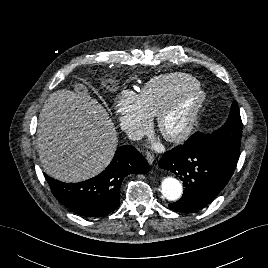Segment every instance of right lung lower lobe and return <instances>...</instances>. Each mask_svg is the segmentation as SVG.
<instances>
[{"mask_svg":"<svg viewBox=\"0 0 268 268\" xmlns=\"http://www.w3.org/2000/svg\"><path fill=\"white\" fill-rule=\"evenodd\" d=\"M145 158L130 145L116 150L109 166L89 180L68 184L45 175L51 191L65 207L86 217L105 216L120 205V185L129 174L149 171Z\"/></svg>","mask_w":268,"mask_h":268,"instance_id":"98d812e1","label":"right lung lower lobe"}]
</instances>
